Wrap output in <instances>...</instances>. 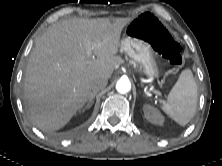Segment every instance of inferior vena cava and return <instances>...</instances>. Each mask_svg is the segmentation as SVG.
Listing matches in <instances>:
<instances>
[{"label":"inferior vena cava","instance_id":"602c4592","mask_svg":"<svg viewBox=\"0 0 222 166\" xmlns=\"http://www.w3.org/2000/svg\"><path fill=\"white\" fill-rule=\"evenodd\" d=\"M108 83V80L105 78L96 79L92 84V93L96 94L100 90H103Z\"/></svg>","mask_w":222,"mask_h":166}]
</instances>
